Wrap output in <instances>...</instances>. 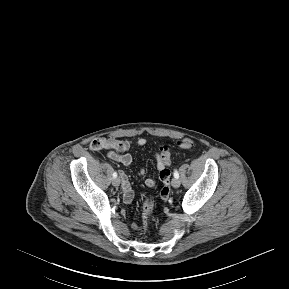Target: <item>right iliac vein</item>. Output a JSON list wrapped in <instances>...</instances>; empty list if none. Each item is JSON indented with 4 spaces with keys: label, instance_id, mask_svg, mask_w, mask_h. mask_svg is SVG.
<instances>
[{
    "label": "right iliac vein",
    "instance_id": "obj_1",
    "mask_svg": "<svg viewBox=\"0 0 289 289\" xmlns=\"http://www.w3.org/2000/svg\"><path fill=\"white\" fill-rule=\"evenodd\" d=\"M112 184H113V186H115V187H118L119 185H120V179L119 178H114L113 180H112Z\"/></svg>",
    "mask_w": 289,
    "mask_h": 289
}]
</instances>
